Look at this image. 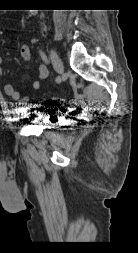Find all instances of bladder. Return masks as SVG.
Masks as SVG:
<instances>
[{"instance_id":"31cf9c89","label":"bladder","mask_w":138,"mask_h":253,"mask_svg":"<svg viewBox=\"0 0 138 253\" xmlns=\"http://www.w3.org/2000/svg\"><path fill=\"white\" fill-rule=\"evenodd\" d=\"M28 114L32 115L33 118H32V121L33 122H37V123H42V115L44 114H34L33 112H28ZM43 128H51V124L49 123H45V124H40Z\"/></svg>"}]
</instances>
